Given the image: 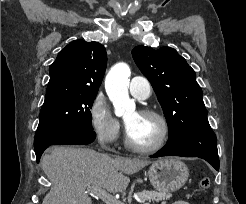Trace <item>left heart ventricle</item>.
<instances>
[{"mask_svg": "<svg viewBox=\"0 0 246 204\" xmlns=\"http://www.w3.org/2000/svg\"><path fill=\"white\" fill-rule=\"evenodd\" d=\"M125 120L126 123L132 124L128 134L130 139L137 145H152L161 134V125L154 117L132 112L126 116Z\"/></svg>", "mask_w": 246, "mask_h": 204, "instance_id": "b2bd125f", "label": "left heart ventricle"}]
</instances>
